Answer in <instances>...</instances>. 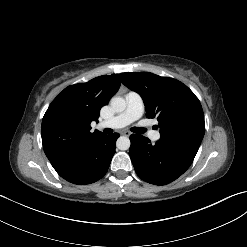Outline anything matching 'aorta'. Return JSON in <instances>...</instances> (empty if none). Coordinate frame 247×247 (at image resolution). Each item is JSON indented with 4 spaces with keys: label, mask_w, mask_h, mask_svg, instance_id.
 <instances>
[{
    "label": "aorta",
    "mask_w": 247,
    "mask_h": 247,
    "mask_svg": "<svg viewBox=\"0 0 247 247\" xmlns=\"http://www.w3.org/2000/svg\"><path fill=\"white\" fill-rule=\"evenodd\" d=\"M111 108L115 112H123L126 108V101L122 97H113L110 101ZM130 139L126 136H120L116 145L119 150H128L130 148Z\"/></svg>",
    "instance_id": "762f6f07"
}]
</instances>
